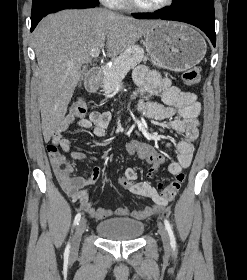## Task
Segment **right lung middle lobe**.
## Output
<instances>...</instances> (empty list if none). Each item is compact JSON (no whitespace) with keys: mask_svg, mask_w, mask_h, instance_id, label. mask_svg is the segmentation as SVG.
I'll list each match as a JSON object with an SVG mask.
<instances>
[{"mask_svg":"<svg viewBox=\"0 0 247 280\" xmlns=\"http://www.w3.org/2000/svg\"><path fill=\"white\" fill-rule=\"evenodd\" d=\"M66 2H88L99 5L98 0H33L31 21L41 18L52 7Z\"/></svg>","mask_w":247,"mask_h":280,"instance_id":"right-lung-middle-lobe-1","label":"right lung middle lobe"}]
</instances>
